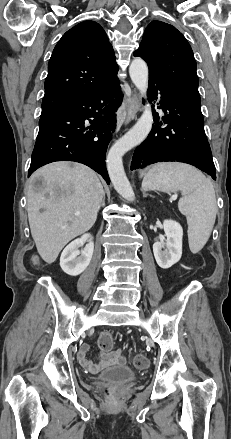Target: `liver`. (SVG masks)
Returning a JSON list of instances; mask_svg holds the SVG:
<instances>
[{
	"label": "liver",
	"mask_w": 231,
	"mask_h": 439,
	"mask_svg": "<svg viewBox=\"0 0 231 439\" xmlns=\"http://www.w3.org/2000/svg\"><path fill=\"white\" fill-rule=\"evenodd\" d=\"M38 179L44 181L41 190L33 185ZM103 195L97 174L79 163H50L31 176L28 220L37 251L46 263H53L69 241L92 228Z\"/></svg>",
	"instance_id": "liver-1"
}]
</instances>
